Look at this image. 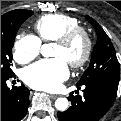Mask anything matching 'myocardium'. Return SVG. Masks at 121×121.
Here are the masks:
<instances>
[{
    "label": "myocardium",
    "instance_id": "obj_1",
    "mask_svg": "<svg viewBox=\"0 0 121 121\" xmlns=\"http://www.w3.org/2000/svg\"><path fill=\"white\" fill-rule=\"evenodd\" d=\"M81 37L84 40L85 47L82 56L76 60L69 62L73 68H79L83 66L89 59L93 49V41L89 32L82 26L75 27L66 33H64L56 43L62 46H69L76 38Z\"/></svg>",
    "mask_w": 121,
    "mask_h": 121
}]
</instances>
